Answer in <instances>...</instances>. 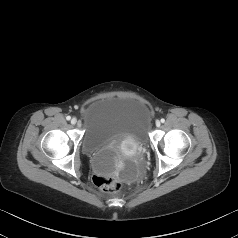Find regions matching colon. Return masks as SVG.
I'll list each match as a JSON object with an SVG mask.
<instances>
[{
	"instance_id": "1",
	"label": "colon",
	"mask_w": 238,
	"mask_h": 238,
	"mask_svg": "<svg viewBox=\"0 0 238 238\" xmlns=\"http://www.w3.org/2000/svg\"><path fill=\"white\" fill-rule=\"evenodd\" d=\"M92 180L97 187L107 192H117L121 188L120 180L114 176L97 173L93 175Z\"/></svg>"
}]
</instances>
